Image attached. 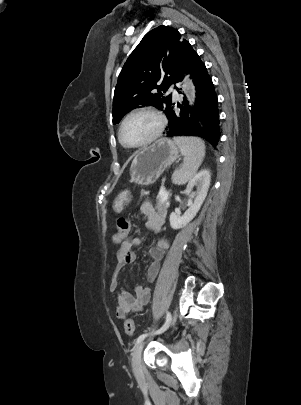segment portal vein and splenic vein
Here are the masks:
<instances>
[{"mask_svg":"<svg viewBox=\"0 0 301 405\" xmlns=\"http://www.w3.org/2000/svg\"><path fill=\"white\" fill-rule=\"evenodd\" d=\"M159 195L161 197L162 200H166L168 198V194L167 192L164 190V188H162L159 192Z\"/></svg>","mask_w":301,"mask_h":405,"instance_id":"1","label":"portal vein and splenic vein"}]
</instances>
